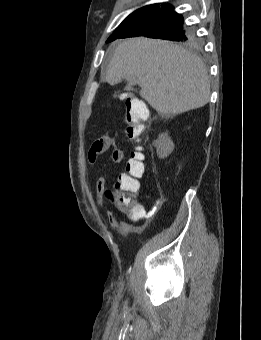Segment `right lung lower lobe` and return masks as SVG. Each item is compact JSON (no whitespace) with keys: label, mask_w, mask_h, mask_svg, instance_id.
I'll use <instances>...</instances> for the list:
<instances>
[{"label":"right lung lower lobe","mask_w":261,"mask_h":340,"mask_svg":"<svg viewBox=\"0 0 261 340\" xmlns=\"http://www.w3.org/2000/svg\"><path fill=\"white\" fill-rule=\"evenodd\" d=\"M147 13L118 38L146 36L171 40L174 34L183 32L187 27L184 26L183 17L176 13L169 4H162Z\"/></svg>","instance_id":"right-lung-lower-lobe-1"}]
</instances>
